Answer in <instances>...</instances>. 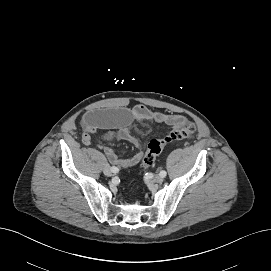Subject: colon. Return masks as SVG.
I'll return each mask as SVG.
<instances>
[{
    "mask_svg": "<svg viewBox=\"0 0 271 271\" xmlns=\"http://www.w3.org/2000/svg\"><path fill=\"white\" fill-rule=\"evenodd\" d=\"M194 130V124L186 121L165 137L151 139L148 143L147 150L141 159L140 169L144 170L151 166L167 144L189 137Z\"/></svg>",
    "mask_w": 271,
    "mask_h": 271,
    "instance_id": "1",
    "label": "colon"
}]
</instances>
